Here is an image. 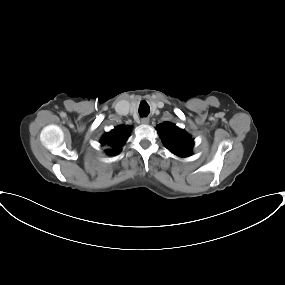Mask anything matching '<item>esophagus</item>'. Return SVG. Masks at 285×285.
I'll list each match as a JSON object with an SVG mask.
<instances>
[{"label": "esophagus", "mask_w": 285, "mask_h": 285, "mask_svg": "<svg viewBox=\"0 0 285 285\" xmlns=\"http://www.w3.org/2000/svg\"><path fill=\"white\" fill-rule=\"evenodd\" d=\"M141 123L142 124H148L149 123V118H147V117L142 118L141 119Z\"/></svg>", "instance_id": "1"}]
</instances>
